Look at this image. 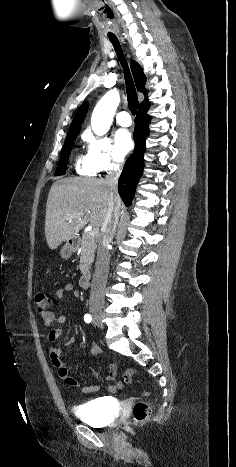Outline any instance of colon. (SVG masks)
Returning <instances> with one entry per match:
<instances>
[{
  "instance_id": "5ec220e1",
  "label": "colon",
  "mask_w": 236,
  "mask_h": 467,
  "mask_svg": "<svg viewBox=\"0 0 236 467\" xmlns=\"http://www.w3.org/2000/svg\"><path fill=\"white\" fill-rule=\"evenodd\" d=\"M37 309L40 313H47L52 307V299L47 292L38 291L35 295ZM139 372L137 369L129 368L124 373L125 383H130L132 378ZM152 409L148 403L136 402L132 408V417L136 423L144 422L150 415Z\"/></svg>"
}]
</instances>
